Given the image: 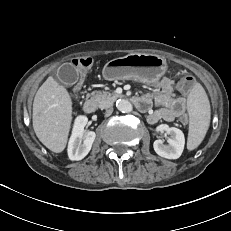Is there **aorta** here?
<instances>
[{
  "label": "aorta",
  "mask_w": 231,
  "mask_h": 231,
  "mask_svg": "<svg viewBox=\"0 0 231 231\" xmlns=\"http://www.w3.org/2000/svg\"><path fill=\"white\" fill-rule=\"evenodd\" d=\"M117 109L122 113H129L133 110L132 104L125 99H119L116 102Z\"/></svg>",
  "instance_id": "aorta-1"
}]
</instances>
